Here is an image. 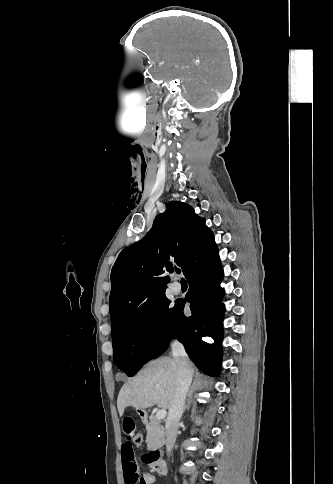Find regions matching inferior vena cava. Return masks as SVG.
Segmentation results:
<instances>
[{
    "instance_id": "1",
    "label": "inferior vena cava",
    "mask_w": 333,
    "mask_h": 484,
    "mask_svg": "<svg viewBox=\"0 0 333 484\" xmlns=\"http://www.w3.org/2000/svg\"><path fill=\"white\" fill-rule=\"evenodd\" d=\"M172 355L178 364V386L169 409L166 419V449L170 453L177 437L178 424L181 419L186 396L192 382V368L191 362L184 346L178 341L174 340L171 343Z\"/></svg>"
}]
</instances>
